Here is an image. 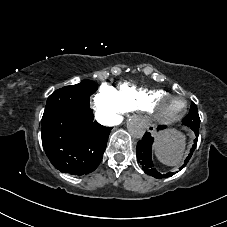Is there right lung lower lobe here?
Listing matches in <instances>:
<instances>
[{
  "instance_id": "1",
  "label": "right lung lower lobe",
  "mask_w": 227,
  "mask_h": 227,
  "mask_svg": "<svg viewBox=\"0 0 227 227\" xmlns=\"http://www.w3.org/2000/svg\"><path fill=\"white\" fill-rule=\"evenodd\" d=\"M110 131L94 121L90 108L66 109L42 118V145L56 169L88 174L100 164Z\"/></svg>"
}]
</instances>
